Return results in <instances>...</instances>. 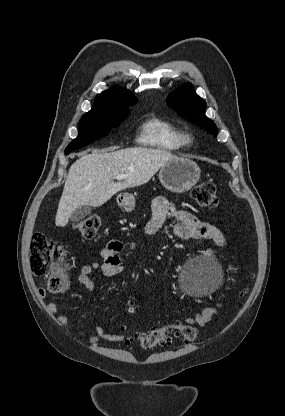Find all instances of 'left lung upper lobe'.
<instances>
[{"mask_svg": "<svg viewBox=\"0 0 285 416\" xmlns=\"http://www.w3.org/2000/svg\"><path fill=\"white\" fill-rule=\"evenodd\" d=\"M166 103L181 117L217 137L215 123L205 115L206 102L193 91L191 84H185L172 92L166 98Z\"/></svg>", "mask_w": 285, "mask_h": 416, "instance_id": "left-lung-upper-lobe-1", "label": "left lung upper lobe"}]
</instances>
